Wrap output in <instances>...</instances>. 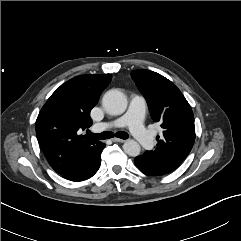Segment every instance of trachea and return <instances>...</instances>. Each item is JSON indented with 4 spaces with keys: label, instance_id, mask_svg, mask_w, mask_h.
Wrapping results in <instances>:
<instances>
[{
    "label": "trachea",
    "instance_id": "1",
    "mask_svg": "<svg viewBox=\"0 0 241 241\" xmlns=\"http://www.w3.org/2000/svg\"><path fill=\"white\" fill-rule=\"evenodd\" d=\"M88 136L97 139V140H106L109 138L114 137V134L108 131L102 132L100 134H93L91 132L88 133ZM116 137L121 138V139H127L129 135L126 132L119 131L115 134Z\"/></svg>",
    "mask_w": 241,
    "mask_h": 241
}]
</instances>
